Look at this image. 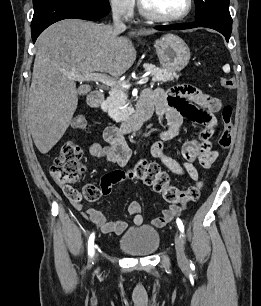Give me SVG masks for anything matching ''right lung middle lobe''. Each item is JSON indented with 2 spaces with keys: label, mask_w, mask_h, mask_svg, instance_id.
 Listing matches in <instances>:
<instances>
[{
  "label": "right lung middle lobe",
  "mask_w": 261,
  "mask_h": 306,
  "mask_svg": "<svg viewBox=\"0 0 261 306\" xmlns=\"http://www.w3.org/2000/svg\"><path fill=\"white\" fill-rule=\"evenodd\" d=\"M110 10L109 0H77Z\"/></svg>",
  "instance_id": "right-lung-middle-lobe-1"
}]
</instances>
